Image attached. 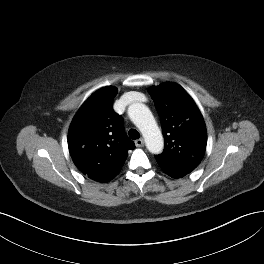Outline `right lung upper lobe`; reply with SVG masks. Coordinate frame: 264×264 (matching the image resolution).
I'll return each mask as SVG.
<instances>
[{
	"mask_svg": "<svg viewBox=\"0 0 264 264\" xmlns=\"http://www.w3.org/2000/svg\"><path fill=\"white\" fill-rule=\"evenodd\" d=\"M116 94L112 86L92 94L75 115L68 133L70 155L77 168L107 181L119 173L128 150L135 148L125 134L123 118L113 110Z\"/></svg>",
	"mask_w": 264,
	"mask_h": 264,
	"instance_id": "cb5924a9",
	"label": "right lung upper lobe"
}]
</instances>
